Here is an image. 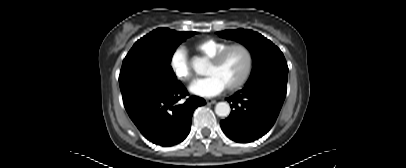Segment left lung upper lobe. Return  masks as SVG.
Returning a JSON list of instances; mask_svg holds the SVG:
<instances>
[{"label":"left lung upper lobe","instance_id":"1","mask_svg":"<svg viewBox=\"0 0 406 168\" xmlns=\"http://www.w3.org/2000/svg\"><path fill=\"white\" fill-rule=\"evenodd\" d=\"M218 34L246 46L253 56V70L246 86L261 83L287 84L288 66L281 50L252 30H225Z\"/></svg>","mask_w":406,"mask_h":168}]
</instances>
